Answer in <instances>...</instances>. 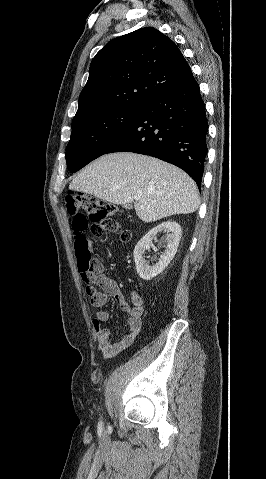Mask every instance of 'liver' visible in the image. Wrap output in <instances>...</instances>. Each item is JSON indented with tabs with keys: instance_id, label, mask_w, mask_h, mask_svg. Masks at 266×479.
Segmentation results:
<instances>
[{
	"instance_id": "6515ba94",
	"label": "liver",
	"mask_w": 266,
	"mask_h": 479,
	"mask_svg": "<svg viewBox=\"0 0 266 479\" xmlns=\"http://www.w3.org/2000/svg\"><path fill=\"white\" fill-rule=\"evenodd\" d=\"M69 189L94 195L117 205L131 203L144 222L199 207L198 189L184 171L154 157L120 152L101 156L70 183Z\"/></svg>"
}]
</instances>
